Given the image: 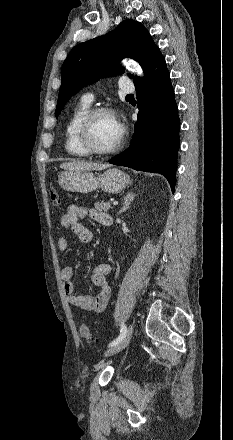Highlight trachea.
<instances>
[{
	"label": "trachea",
	"mask_w": 233,
	"mask_h": 440,
	"mask_svg": "<svg viewBox=\"0 0 233 440\" xmlns=\"http://www.w3.org/2000/svg\"><path fill=\"white\" fill-rule=\"evenodd\" d=\"M126 97H133V94H128Z\"/></svg>",
	"instance_id": "3493384b"
}]
</instances>
